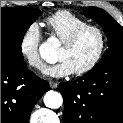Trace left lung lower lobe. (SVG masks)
<instances>
[{
    "instance_id": "obj_1",
    "label": "left lung lower lobe",
    "mask_w": 123,
    "mask_h": 123,
    "mask_svg": "<svg viewBox=\"0 0 123 123\" xmlns=\"http://www.w3.org/2000/svg\"><path fill=\"white\" fill-rule=\"evenodd\" d=\"M63 123H123V57L96 64L75 81L60 83Z\"/></svg>"
}]
</instances>
